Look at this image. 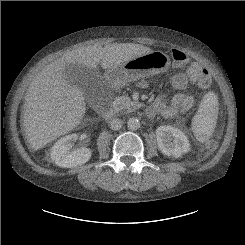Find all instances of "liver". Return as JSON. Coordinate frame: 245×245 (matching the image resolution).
<instances>
[{
    "label": "liver",
    "instance_id": "obj_1",
    "mask_svg": "<svg viewBox=\"0 0 245 245\" xmlns=\"http://www.w3.org/2000/svg\"><path fill=\"white\" fill-rule=\"evenodd\" d=\"M134 43H112L102 47L90 45L68 51L46 65L32 80L24 104L25 136L34 150H39L77 127L85 113V97L68 82L66 67L84 65L89 69H109L152 52Z\"/></svg>",
    "mask_w": 245,
    "mask_h": 245
}]
</instances>
